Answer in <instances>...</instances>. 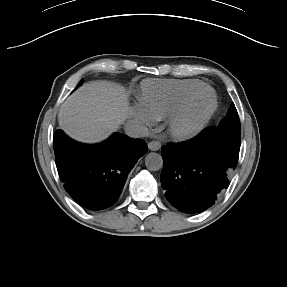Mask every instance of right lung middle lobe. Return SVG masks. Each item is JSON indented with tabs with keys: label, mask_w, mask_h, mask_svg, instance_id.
I'll list each match as a JSON object with an SVG mask.
<instances>
[{
	"label": "right lung middle lobe",
	"mask_w": 287,
	"mask_h": 287,
	"mask_svg": "<svg viewBox=\"0 0 287 287\" xmlns=\"http://www.w3.org/2000/svg\"><path fill=\"white\" fill-rule=\"evenodd\" d=\"M82 83H83V81H80L79 84L77 85V87H79Z\"/></svg>",
	"instance_id": "right-lung-middle-lobe-1"
}]
</instances>
